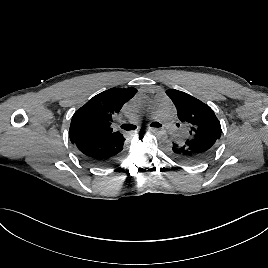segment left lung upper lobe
<instances>
[{"label":"left lung upper lobe","instance_id":"5c2ea615","mask_svg":"<svg viewBox=\"0 0 268 268\" xmlns=\"http://www.w3.org/2000/svg\"><path fill=\"white\" fill-rule=\"evenodd\" d=\"M166 94L176 106L179 120L188 125L189 137L211 136L220 139V122L207 104L175 89L167 90Z\"/></svg>","mask_w":268,"mask_h":268}]
</instances>
